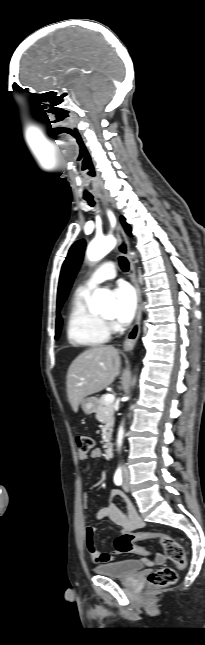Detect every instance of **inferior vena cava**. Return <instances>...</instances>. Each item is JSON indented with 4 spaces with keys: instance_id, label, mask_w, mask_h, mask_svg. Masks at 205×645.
Segmentation results:
<instances>
[{
    "instance_id": "obj_1",
    "label": "inferior vena cava",
    "mask_w": 205,
    "mask_h": 645,
    "mask_svg": "<svg viewBox=\"0 0 205 645\" xmlns=\"http://www.w3.org/2000/svg\"><path fill=\"white\" fill-rule=\"evenodd\" d=\"M123 472H127V468L123 466Z\"/></svg>"
}]
</instances>
